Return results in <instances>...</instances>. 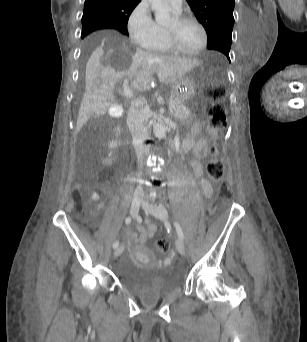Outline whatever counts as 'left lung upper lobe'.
<instances>
[{
  "label": "left lung upper lobe",
  "mask_w": 307,
  "mask_h": 342,
  "mask_svg": "<svg viewBox=\"0 0 307 342\" xmlns=\"http://www.w3.org/2000/svg\"><path fill=\"white\" fill-rule=\"evenodd\" d=\"M208 34L207 48L225 54L230 61L234 25V0H187Z\"/></svg>",
  "instance_id": "obj_1"
}]
</instances>
